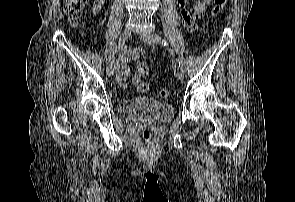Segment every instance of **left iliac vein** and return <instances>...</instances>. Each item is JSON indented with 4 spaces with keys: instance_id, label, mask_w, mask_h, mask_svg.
<instances>
[{
    "instance_id": "1",
    "label": "left iliac vein",
    "mask_w": 295,
    "mask_h": 202,
    "mask_svg": "<svg viewBox=\"0 0 295 202\" xmlns=\"http://www.w3.org/2000/svg\"><path fill=\"white\" fill-rule=\"evenodd\" d=\"M140 38L141 40L149 45H154L155 44V39L154 35L151 32H142L140 33ZM176 77L179 81H183L184 79V74L181 70L177 71Z\"/></svg>"
}]
</instances>
